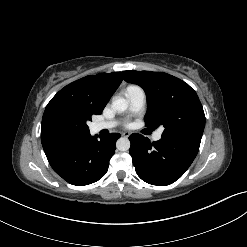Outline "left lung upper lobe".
Returning a JSON list of instances; mask_svg holds the SVG:
<instances>
[{
	"instance_id": "1",
	"label": "left lung upper lobe",
	"mask_w": 247,
	"mask_h": 247,
	"mask_svg": "<svg viewBox=\"0 0 247 247\" xmlns=\"http://www.w3.org/2000/svg\"><path fill=\"white\" fill-rule=\"evenodd\" d=\"M123 77L146 93V126L163 125L162 137L199 150L205 114L196 92L186 82L151 71H123Z\"/></svg>"
}]
</instances>
